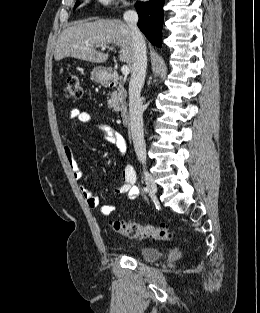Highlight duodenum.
Instances as JSON below:
<instances>
[{
	"instance_id": "1",
	"label": "duodenum",
	"mask_w": 260,
	"mask_h": 313,
	"mask_svg": "<svg viewBox=\"0 0 260 313\" xmlns=\"http://www.w3.org/2000/svg\"><path fill=\"white\" fill-rule=\"evenodd\" d=\"M105 83L108 87H116L119 84V77L112 69H107L105 72ZM130 121L129 112L126 109L121 111V122L123 125H128Z\"/></svg>"
}]
</instances>
